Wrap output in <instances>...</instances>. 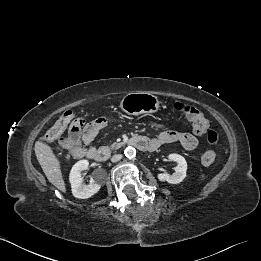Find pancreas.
<instances>
[{
    "instance_id": "1",
    "label": "pancreas",
    "mask_w": 261,
    "mask_h": 261,
    "mask_svg": "<svg viewBox=\"0 0 261 261\" xmlns=\"http://www.w3.org/2000/svg\"><path fill=\"white\" fill-rule=\"evenodd\" d=\"M121 146H122V143H117V142H115V143H113V144L110 145V148L116 149V148H119V147H121Z\"/></svg>"
}]
</instances>
